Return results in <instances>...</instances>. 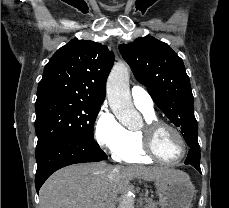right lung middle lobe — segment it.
<instances>
[{"instance_id": "1", "label": "right lung middle lobe", "mask_w": 229, "mask_h": 208, "mask_svg": "<svg viewBox=\"0 0 229 208\" xmlns=\"http://www.w3.org/2000/svg\"><path fill=\"white\" fill-rule=\"evenodd\" d=\"M35 105V129L38 137L36 150L62 136L78 137L97 145L93 129L99 106L64 97L44 99Z\"/></svg>"}]
</instances>
